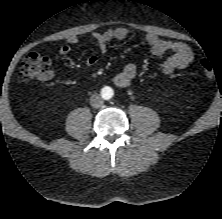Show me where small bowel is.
Here are the masks:
<instances>
[{"instance_id": "obj_1", "label": "small bowel", "mask_w": 222, "mask_h": 219, "mask_svg": "<svg viewBox=\"0 0 222 219\" xmlns=\"http://www.w3.org/2000/svg\"><path fill=\"white\" fill-rule=\"evenodd\" d=\"M128 29L123 27L107 29L100 32H95L91 35L95 42L98 52L106 51L108 43L114 40H123L129 36ZM147 44L155 56H162L168 54L163 61L161 69L165 74H171L177 70L186 68L193 60V53L191 49L184 43L178 41L164 40L155 33H148L146 36ZM78 39L75 36L67 38V44L59 48L60 55H67L71 51V46L77 44ZM98 63V56L95 53L88 55L85 66L87 69H92ZM138 70L137 63H128L123 69L114 75L113 82L117 87L125 88L130 85L135 78Z\"/></svg>"}]
</instances>
